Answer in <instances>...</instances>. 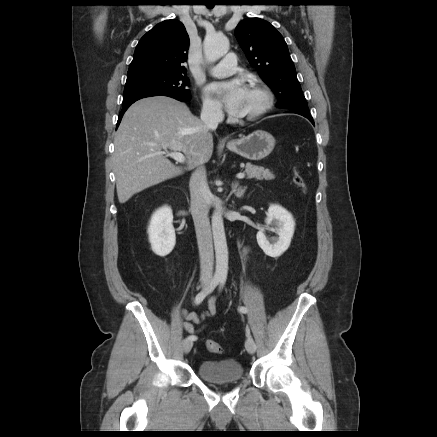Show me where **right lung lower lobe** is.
Masks as SVG:
<instances>
[{"instance_id": "1", "label": "right lung lower lobe", "mask_w": 437, "mask_h": 437, "mask_svg": "<svg viewBox=\"0 0 437 437\" xmlns=\"http://www.w3.org/2000/svg\"><path fill=\"white\" fill-rule=\"evenodd\" d=\"M172 98H175V97H172ZM175 99H177V100H179V101H182V102H188V101L190 100V99H179V98H175ZM131 104H132V103H131ZM131 104L123 105V108H122V110H121V112H120L119 119H118V122H117V127H118V125H119V123H120V121H121V118H122L123 114L125 113V111L128 109V107H129Z\"/></svg>"}]
</instances>
